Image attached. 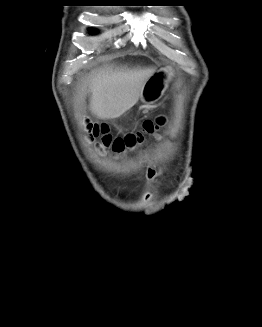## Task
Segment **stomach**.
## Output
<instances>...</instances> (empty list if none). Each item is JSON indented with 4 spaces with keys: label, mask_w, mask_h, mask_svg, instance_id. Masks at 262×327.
Returning a JSON list of instances; mask_svg holds the SVG:
<instances>
[{
    "label": "stomach",
    "mask_w": 262,
    "mask_h": 327,
    "mask_svg": "<svg viewBox=\"0 0 262 327\" xmlns=\"http://www.w3.org/2000/svg\"><path fill=\"white\" fill-rule=\"evenodd\" d=\"M170 70L161 69L156 71L145 83L140 100L144 106H149L161 98L168 86Z\"/></svg>",
    "instance_id": "obj_1"
}]
</instances>
